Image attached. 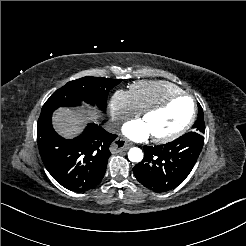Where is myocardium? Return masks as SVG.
I'll return each mask as SVG.
<instances>
[{
    "label": "myocardium",
    "mask_w": 246,
    "mask_h": 246,
    "mask_svg": "<svg viewBox=\"0 0 246 246\" xmlns=\"http://www.w3.org/2000/svg\"><path fill=\"white\" fill-rule=\"evenodd\" d=\"M180 98H187L192 105V111H191L189 118L187 119L186 122H184L179 128H177L172 133H169L167 135H162V136H152V139L155 142L167 143L169 141H172V140L178 138L179 136H181L183 133H185L191 127V125L194 122L195 114H196V108H195L194 100H193L191 95H189L187 93H181V94L175 95L173 97H170V98H168V99L164 100L163 102H160L156 105L150 106V107L146 108L144 111H142L141 119L145 120L146 118H148V116L151 113L165 109L169 104H171L172 102H174L175 100L180 99Z\"/></svg>",
    "instance_id": "f54148a6"
}]
</instances>
